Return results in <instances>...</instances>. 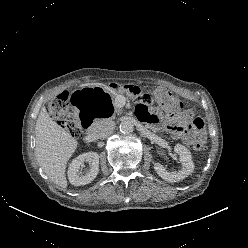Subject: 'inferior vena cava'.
Returning a JSON list of instances; mask_svg holds the SVG:
<instances>
[{
  "label": "inferior vena cava",
  "instance_id": "602c4592",
  "mask_svg": "<svg viewBox=\"0 0 248 248\" xmlns=\"http://www.w3.org/2000/svg\"><path fill=\"white\" fill-rule=\"evenodd\" d=\"M115 129V122L112 120H104L100 122L92 132L93 139H102L109 136Z\"/></svg>",
  "mask_w": 248,
  "mask_h": 248
}]
</instances>
